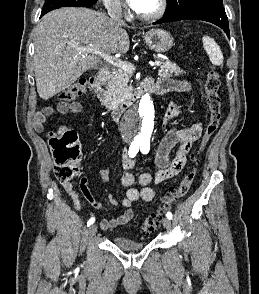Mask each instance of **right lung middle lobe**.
I'll list each match as a JSON object with an SVG mask.
<instances>
[{
  "label": "right lung middle lobe",
  "instance_id": "1",
  "mask_svg": "<svg viewBox=\"0 0 259 294\" xmlns=\"http://www.w3.org/2000/svg\"><path fill=\"white\" fill-rule=\"evenodd\" d=\"M97 0H45L41 15L60 7H91Z\"/></svg>",
  "mask_w": 259,
  "mask_h": 294
}]
</instances>
